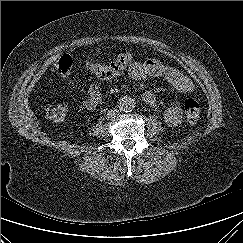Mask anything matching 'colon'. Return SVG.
I'll list each match as a JSON object with an SVG mask.
<instances>
[{
	"label": "colon",
	"instance_id": "5ec220e1",
	"mask_svg": "<svg viewBox=\"0 0 243 243\" xmlns=\"http://www.w3.org/2000/svg\"><path fill=\"white\" fill-rule=\"evenodd\" d=\"M132 56L129 53L120 54L115 60L107 64L95 63L89 59L84 61L85 68L100 79H112L121 75L132 66ZM74 68V58L71 55H62L53 65V71L62 77L69 76ZM184 111L189 124L194 125L200 118L201 107L194 98L184 102ZM46 117L54 122H62L67 114V108L62 103L50 104L45 108Z\"/></svg>",
	"mask_w": 243,
	"mask_h": 243
}]
</instances>
